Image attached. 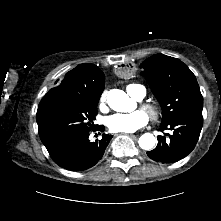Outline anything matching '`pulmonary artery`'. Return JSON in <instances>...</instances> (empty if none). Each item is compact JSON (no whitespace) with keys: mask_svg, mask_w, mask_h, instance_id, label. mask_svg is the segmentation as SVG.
I'll return each instance as SVG.
<instances>
[{"mask_svg":"<svg viewBox=\"0 0 221 221\" xmlns=\"http://www.w3.org/2000/svg\"><path fill=\"white\" fill-rule=\"evenodd\" d=\"M129 92L133 95L134 98H136L137 100H141L144 98L145 94H146V90L142 85H138V84H133L130 88H129Z\"/></svg>","mask_w":221,"mask_h":221,"instance_id":"obj_1","label":"pulmonary artery"}]
</instances>
